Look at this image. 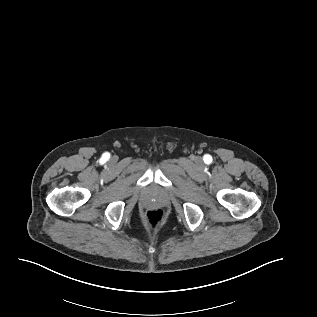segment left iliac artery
Segmentation results:
<instances>
[{
  "mask_svg": "<svg viewBox=\"0 0 317 317\" xmlns=\"http://www.w3.org/2000/svg\"><path fill=\"white\" fill-rule=\"evenodd\" d=\"M206 159H207V161H209V162H210V157H209V156H207V157H206Z\"/></svg>",
  "mask_w": 317,
  "mask_h": 317,
  "instance_id": "obj_1",
  "label": "left iliac artery"
}]
</instances>
